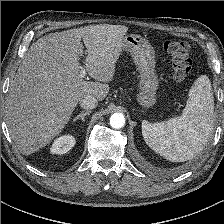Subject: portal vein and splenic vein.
Returning a JSON list of instances; mask_svg holds the SVG:
<instances>
[{
	"label": "portal vein and splenic vein",
	"mask_w": 224,
	"mask_h": 224,
	"mask_svg": "<svg viewBox=\"0 0 224 224\" xmlns=\"http://www.w3.org/2000/svg\"><path fill=\"white\" fill-rule=\"evenodd\" d=\"M86 75H87L86 67H81L80 74H79L80 78H84Z\"/></svg>",
	"instance_id": "18ae733b"
}]
</instances>
